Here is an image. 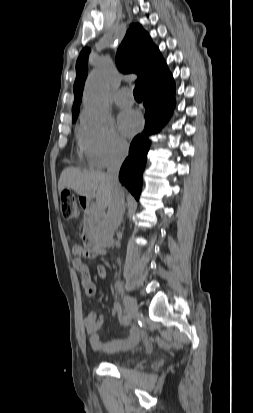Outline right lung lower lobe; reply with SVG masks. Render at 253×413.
<instances>
[{"mask_svg": "<svg viewBox=\"0 0 253 413\" xmlns=\"http://www.w3.org/2000/svg\"><path fill=\"white\" fill-rule=\"evenodd\" d=\"M144 89V106L146 107L145 128L137 135L124 161L119 179L138 200L141 193L142 172L150 148L149 135L155 134L163 127L175 108V84L173 78L151 81Z\"/></svg>", "mask_w": 253, "mask_h": 413, "instance_id": "obj_1", "label": "right lung lower lobe"}]
</instances>
